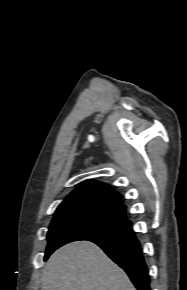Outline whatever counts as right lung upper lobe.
<instances>
[{"instance_id": "right-lung-upper-lobe-1", "label": "right lung upper lobe", "mask_w": 187, "mask_h": 290, "mask_svg": "<svg viewBox=\"0 0 187 290\" xmlns=\"http://www.w3.org/2000/svg\"><path fill=\"white\" fill-rule=\"evenodd\" d=\"M76 208H102L126 219V206L120 202L119 193L106 184L92 180L83 182L68 195L56 213Z\"/></svg>"}]
</instances>
